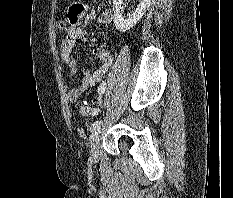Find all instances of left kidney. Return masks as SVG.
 <instances>
[{
	"label": "left kidney",
	"instance_id": "5707ae66",
	"mask_svg": "<svg viewBox=\"0 0 233 198\" xmlns=\"http://www.w3.org/2000/svg\"><path fill=\"white\" fill-rule=\"evenodd\" d=\"M124 0H113L114 7V24L117 30L125 32L133 27L143 17L146 9L149 7L151 0H139L137 8L128 15V18L123 16Z\"/></svg>",
	"mask_w": 233,
	"mask_h": 198
}]
</instances>
